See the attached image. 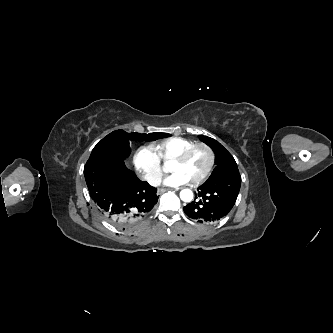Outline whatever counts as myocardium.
<instances>
[{"label":"myocardium","instance_id":"obj_1","mask_svg":"<svg viewBox=\"0 0 333 333\" xmlns=\"http://www.w3.org/2000/svg\"><path fill=\"white\" fill-rule=\"evenodd\" d=\"M197 148H203L208 152V154H209V164H208V167L205 170V172L199 178L191 181V184L194 185V186L202 184L211 175V173L214 169L215 163H216V154H215V151L213 150V148L211 146H209L208 144H206V143H202V142L194 143L193 145L184 149L181 153H179L173 159L174 163H183L188 158L190 153L193 150L197 149Z\"/></svg>","mask_w":333,"mask_h":333}]
</instances>
